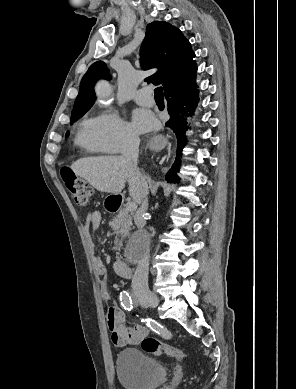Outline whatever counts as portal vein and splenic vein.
<instances>
[{
  "label": "portal vein and splenic vein",
  "mask_w": 296,
  "mask_h": 389,
  "mask_svg": "<svg viewBox=\"0 0 296 389\" xmlns=\"http://www.w3.org/2000/svg\"><path fill=\"white\" fill-rule=\"evenodd\" d=\"M136 208H137L136 202H128L126 204V210L127 211H134V210H136Z\"/></svg>",
  "instance_id": "1"
}]
</instances>
